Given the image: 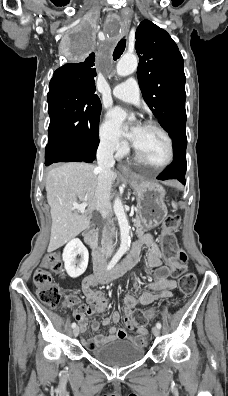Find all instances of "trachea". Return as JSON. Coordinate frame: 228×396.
I'll return each instance as SVG.
<instances>
[{
	"mask_svg": "<svg viewBox=\"0 0 228 396\" xmlns=\"http://www.w3.org/2000/svg\"><path fill=\"white\" fill-rule=\"evenodd\" d=\"M125 47H126V39H125V38H122V39L118 42V44H117V46L115 47V50H114V52H113V59H114V60H117V59L120 58V56L123 54V52H124V50H125Z\"/></svg>",
	"mask_w": 228,
	"mask_h": 396,
	"instance_id": "1",
	"label": "trachea"
}]
</instances>
